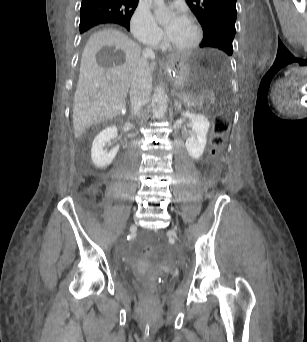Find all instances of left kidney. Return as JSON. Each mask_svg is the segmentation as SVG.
<instances>
[{
	"mask_svg": "<svg viewBox=\"0 0 307 342\" xmlns=\"http://www.w3.org/2000/svg\"><path fill=\"white\" fill-rule=\"evenodd\" d=\"M183 118L191 120V128L195 136H190L185 142L186 150L193 160H200L206 148L207 134L210 128V122L202 114H191V112H182Z\"/></svg>",
	"mask_w": 307,
	"mask_h": 342,
	"instance_id": "5707ae66",
	"label": "left kidney"
}]
</instances>
